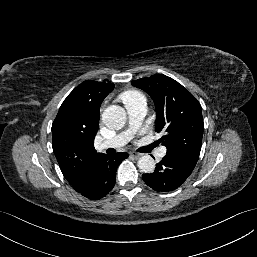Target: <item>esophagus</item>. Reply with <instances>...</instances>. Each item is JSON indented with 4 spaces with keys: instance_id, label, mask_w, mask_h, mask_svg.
<instances>
[{
    "instance_id": "1",
    "label": "esophagus",
    "mask_w": 257,
    "mask_h": 257,
    "mask_svg": "<svg viewBox=\"0 0 257 257\" xmlns=\"http://www.w3.org/2000/svg\"><path fill=\"white\" fill-rule=\"evenodd\" d=\"M130 155H131L132 157H134V158H139V157H141L142 154L137 153V152H131Z\"/></svg>"
}]
</instances>
